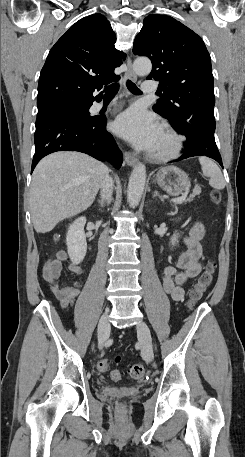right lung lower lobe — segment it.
Wrapping results in <instances>:
<instances>
[{"label":"right lung lower lobe","mask_w":245,"mask_h":457,"mask_svg":"<svg viewBox=\"0 0 245 457\" xmlns=\"http://www.w3.org/2000/svg\"><path fill=\"white\" fill-rule=\"evenodd\" d=\"M93 101L91 102L92 105ZM32 171L39 160L56 151H79L109 161L117 169L122 153L106 130V117L77 110H56L37 116Z\"/></svg>","instance_id":"1"}]
</instances>
